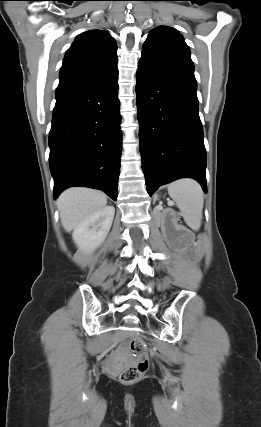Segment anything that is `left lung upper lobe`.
Listing matches in <instances>:
<instances>
[{
  "mask_svg": "<svg viewBox=\"0 0 261 427\" xmlns=\"http://www.w3.org/2000/svg\"><path fill=\"white\" fill-rule=\"evenodd\" d=\"M142 55L194 71L188 45L180 33L169 26H159L150 31L143 44Z\"/></svg>",
  "mask_w": 261,
  "mask_h": 427,
  "instance_id": "obj_1",
  "label": "left lung upper lobe"
}]
</instances>
